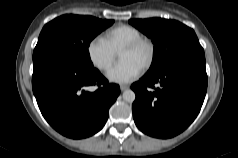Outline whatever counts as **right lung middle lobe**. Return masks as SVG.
Instances as JSON below:
<instances>
[{
	"label": "right lung middle lobe",
	"instance_id": "dd1d6c3e",
	"mask_svg": "<svg viewBox=\"0 0 238 158\" xmlns=\"http://www.w3.org/2000/svg\"><path fill=\"white\" fill-rule=\"evenodd\" d=\"M113 23L114 20L72 14L55 18L43 27L33 58L51 51L69 58L78 65L93 68L88 51L90 42Z\"/></svg>",
	"mask_w": 238,
	"mask_h": 158
}]
</instances>
